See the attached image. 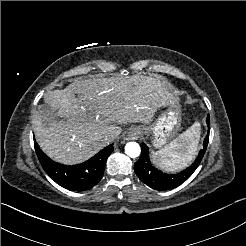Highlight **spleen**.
<instances>
[{"mask_svg": "<svg viewBox=\"0 0 246 246\" xmlns=\"http://www.w3.org/2000/svg\"><path fill=\"white\" fill-rule=\"evenodd\" d=\"M197 121L170 144L153 155V162L165 172L174 173L186 168L196 155L200 140Z\"/></svg>", "mask_w": 246, "mask_h": 246, "instance_id": "spleen-1", "label": "spleen"}]
</instances>
